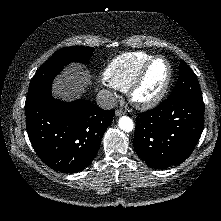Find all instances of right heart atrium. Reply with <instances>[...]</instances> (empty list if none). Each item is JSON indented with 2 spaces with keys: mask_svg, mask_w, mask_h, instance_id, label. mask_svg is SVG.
I'll list each match as a JSON object with an SVG mask.
<instances>
[{
  "mask_svg": "<svg viewBox=\"0 0 221 221\" xmlns=\"http://www.w3.org/2000/svg\"><path fill=\"white\" fill-rule=\"evenodd\" d=\"M102 87L109 95H113V96L116 95V88L113 87L109 82L102 81Z\"/></svg>",
  "mask_w": 221,
  "mask_h": 221,
  "instance_id": "d8ad5b80",
  "label": "right heart atrium"
}]
</instances>
